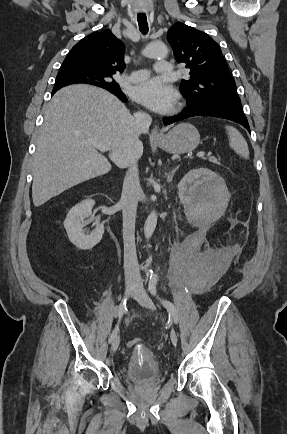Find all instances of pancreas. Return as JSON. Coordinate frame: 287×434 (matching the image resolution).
Here are the masks:
<instances>
[{
    "instance_id": "cf45deb5",
    "label": "pancreas",
    "mask_w": 287,
    "mask_h": 434,
    "mask_svg": "<svg viewBox=\"0 0 287 434\" xmlns=\"http://www.w3.org/2000/svg\"><path fill=\"white\" fill-rule=\"evenodd\" d=\"M208 160L212 163L219 164V162L217 161V159L215 157H209Z\"/></svg>"
}]
</instances>
